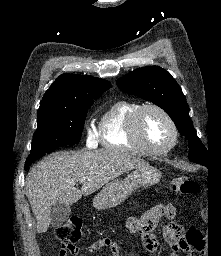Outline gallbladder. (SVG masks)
Masks as SVG:
<instances>
[{
    "label": "gallbladder",
    "instance_id": "gallbladder-1",
    "mask_svg": "<svg viewBox=\"0 0 221 256\" xmlns=\"http://www.w3.org/2000/svg\"><path fill=\"white\" fill-rule=\"evenodd\" d=\"M71 207L62 203H55L50 210L51 225L61 226L70 216Z\"/></svg>",
    "mask_w": 221,
    "mask_h": 256
}]
</instances>
